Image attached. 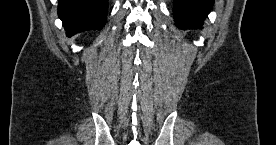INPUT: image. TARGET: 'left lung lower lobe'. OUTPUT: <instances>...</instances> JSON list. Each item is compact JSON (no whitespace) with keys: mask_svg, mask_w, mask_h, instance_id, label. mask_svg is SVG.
I'll list each match as a JSON object with an SVG mask.
<instances>
[{"mask_svg":"<svg viewBox=\"0 0 276 145\" xmlns=\"http://www.w3.org/2000/svg\"><path fill=\"white\" fill-rule=\"evenodd\" d=\"M213 0H174L175 23L180 29H198L209 14Z\"/></svg>","mask_w":276,"mask_h":145,"instance_id":"obj_1","label":"left lung lower lobe"}]
</instances>
